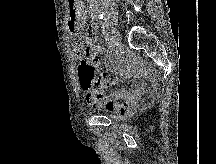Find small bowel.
<instances>
[{
    "mask_svg": "<svg viewBox=\"0 0 216 164\" xmlns=\"http://www.w3.org/2000/svg\"><path fill=\"white\" fill-rule=\"evenodd\" d=\"M96 32L94 24L87 26L85 47L75 48V54L76 56L86 55L94 65L98 66L99 57L104 53V48L98 43ZM108 67L112 72L130 79V90L119 89L107 93L106 89L115 84L118 79H111L107 73H103L101 85L93 91L86 92V101L95 110H106L119 116L127 115L134 109L144 90V86L138 78L145 74V68L141 63L133 64L129 59L121 56L111 57L108 60Z\"/></svg>",
    "mask_w": 216,
    "mask_h": 164,
    "instance_id": "c3829d8e",
    "label": "small bowel"
}]
</instances>
